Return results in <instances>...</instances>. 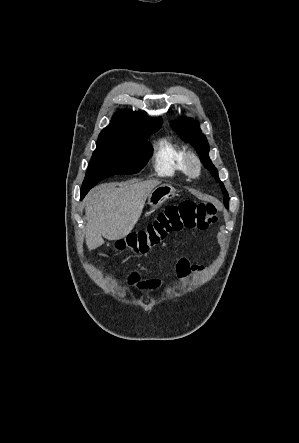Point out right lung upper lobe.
<instances>
[{
    "mask_svg": "<svg viewBox=\"0 0 299 443\" xmlns=\"http://www.w3.org/2000/svg\"><path fill=\"white\" fill-rule=\"evenodd\" d=\"M160 118L151 119L139 112L121 110L115 113L110 124L99 134L105 137L121 133H135L148 126L161 125Z\"/></svg>",
    "mask_w": 299,
    "mask_h": 443,
    "instance_id": "right-lung-upper-lobe-1",
    "label": "right lung upper lobe"
}]
</instances>
